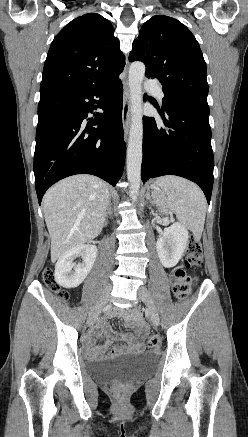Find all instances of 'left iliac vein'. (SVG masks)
Masks as SVG:
<instances>
[{"label":"left iliac vein","instance_id":"1","mask_svg":"<svg viewBox=\"0 0 248 437\" xmlns=\"http://www.w3.org/2000/svg\"><path fill=\"white\" fill-rule=\"evenodd\" d=\"M138 297L145 303L148 309L149 318L154 326L159 325V315L156 305L146 287L141 286L138 289Z\"/></svg>","mask_w":248,"mask_h":437}]
</instances>
